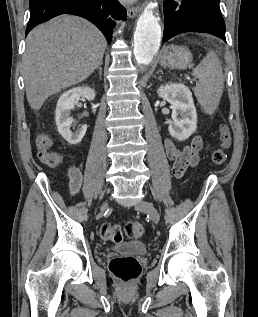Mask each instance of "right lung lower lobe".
<instances>
[{
  "mask_svg": "<svg viewBox=\"0 0 258 317\" xmlns=\"http://www.w3.org/2000/svg\"><path fill=\"white\" fill-rule=\"evenodd\" d=\"M30 19L26 35L38 24L61 14L81 16L97 26L108 43L117 19H124L126 10L117 0H30Z\"/></svg>",
  "mask_w": 258,
  "mask_h": 317,
  "instance_id": "1",
  "label": "right lung lower lobe"
}]
</instances>
